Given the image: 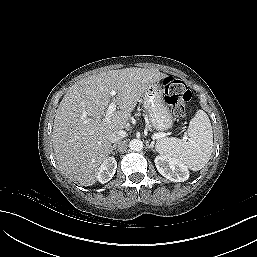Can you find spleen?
Instances as JSON below:
<instances>
[{
	"label": "spleen",
	"instance_id": "1",
	"mask_svg": "<svg viewBox=\"0 0 257 257\" xmlns=\"http://www.w3.org/2000/svg\"><path fill=\"white\" fill-rule=\"evenodd\" d=\"M187 136L188 141L162 138L156 142L155 148L161 156L176 159L189 169L198 171L209 161L213 149L212 126L203 110H198L191 119Z\"/></svg>",
	"mask_w": 257,
	"mask_h": 257
}]
</instances>
